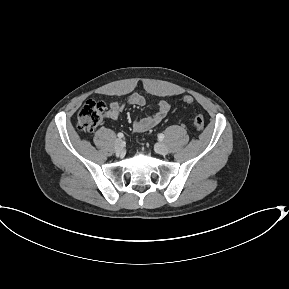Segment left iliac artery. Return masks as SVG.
<instances>
[{
  "label": "left iliac artery",
  "mask_w": 289,
  "mask_h": 289,
  "mask_svg": "<svg viewBox=\"0 0 289 289\" xmlns=\"http://www.w3.org/2000/svg\"><path fill=\"white\" fill-rule=\"evenodd\" d=\"M158 138H159L160 140H163V139H164V134H162V133L159 134V135H158Z\"/></svg>",
  "instance_id": "left-iliac-artery-1"
}]
</instances>
